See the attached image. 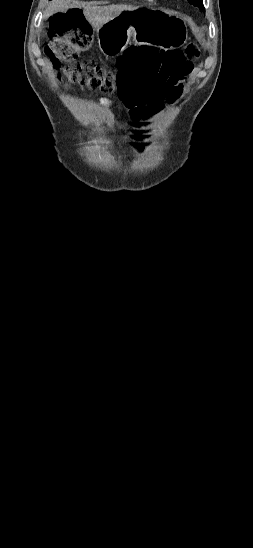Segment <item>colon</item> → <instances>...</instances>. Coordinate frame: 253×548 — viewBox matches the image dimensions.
<instances>
[{
  "instance_id": "colon-1",
  "label": "colon",
  "mask_w": 253,
  "mask_h": 548,
  "mask_svg": "<svg viewBox=\"0 0 253 548\" xmlns=\"http://www.w3.org/2000/svg\"><path fill=\"white\" fill-rule=\"evenodd\" d=\"M55 38L45 49L52 65L59 70L61 82L79 84L105 94L119 91L126 105H131L133 140H147L141 120L155 121L166 105L182 97L183 83L200 56L194 43L183 50L157 51L150 46L129 48L111 69L79 59V51L91 41V29L81 10L56 13L51 19ZM159 58L161 60H153ZM64 64V66H63ZM149 142H136L139 153L152 148Z\"/></svg>"
}]
</instances>
